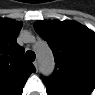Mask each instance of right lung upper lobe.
Segmentation results:
<instances>
[{
    "instance_id": "cb5924a9",
    "label": "right lung upper lobe",
    "mask_w": 95,
    "mask_h": 95,
    "mask_svg": "<svg viewBox=\"0 0 95 95\" xmlns=\"http://www.w3.org/2000/svg\"><path fill=\"white\" fill-rule=\"evenodd\" d=\"M21 27V22L0 19V95H21L26 80L36 71L16 42Z\"/></svg>"
}]
</instances>
